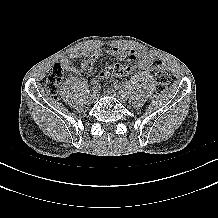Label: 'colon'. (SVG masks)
<instances>
[{
  "instance_id": "colon-1",
  "label": "colon",
  "mask_w": 218,
  "mask_h": 218,
  "mask_svg": "<svg viewBox=\"0 0 218 218\" xmlns=\"http://www.w3.org/2000/svg\"><path fill=\"white\" fill-rule=\"evenodd\" d=\"M124 68L120 64H114L106 68L100 74V78H110L122 76ZM153 71L157 83L158 93H163L167 90L170 83V73L161 60H154ZM64 71L60 64L55 65L48 75L45 84L47 94L53 98L58 96L59 87L63 81Z\"/></svg>"
}]
</instances>
